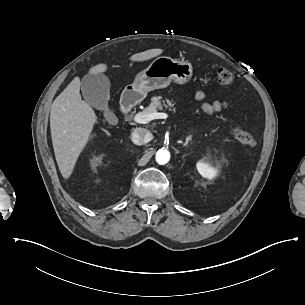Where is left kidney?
Instances as JSON below:
<instances>
[{
    "label": "left kidney",
    "instance_id": "1",
    "mask_svg": "<svg viewBox=\"0 0 305 305\" xmlns=\"http://www.w3.org/2000/svg\"><path fill=\"white\" fill-rule=\"evenodd\" d=\"M196 167L201 176L209 180L215 178L218 175L220 168L219 165L213 167L209 162H205V159L198 161Z\"/></svg>",
    "mask_w": 305,
    "mask_h": 305
}]
</instances>
